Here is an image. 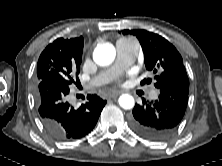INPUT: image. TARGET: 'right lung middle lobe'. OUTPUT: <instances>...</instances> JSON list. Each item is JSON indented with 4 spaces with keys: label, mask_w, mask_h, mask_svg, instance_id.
<instances>
[{
    "label": "right lung middle lobe",
    "mask_w": 222,
    "mask_h": 166,
    "mask_svg": "<svg viewBox=\"0 0 222 166\" xmlns=\"http://www.w3.org/2000/svg\"><path fill=\"white\" fill-rule=\"evenodd\" d=\"M75 39V46L67 51H43L37 64V80L57 78L68 85L73 80L74 73H79L82 61L84 40Z\"/></svg>",
    "instance_id": "obj_1"
}]
</instances>
